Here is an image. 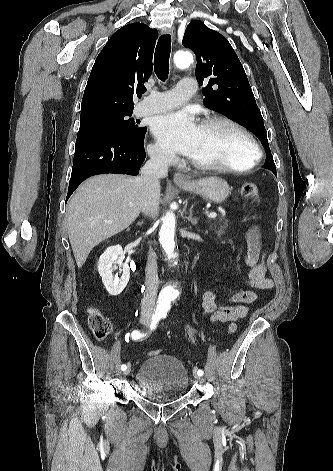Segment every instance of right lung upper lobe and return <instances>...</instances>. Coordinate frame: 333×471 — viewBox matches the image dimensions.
I'll return each instance as SVG.
<instances>
[{
  "label": "right lung upper lobe",
  "instance_id": "right-lung-upper-lobe-1",
  "mask_svg": "<svg viewBox=\"0 0 333 471\" xmlns=\"http://www.w3.org/2000/svg\"><path fill=\"white\" fill-rule=\"evenodd\" d=\"M157 37L143 23L125 25L110 37L90 73L80 119L134 109L133 95L146 91Z\"/></svg>",
  "mask_w": 333,
  "mask_h": 471
}]
</instances>
